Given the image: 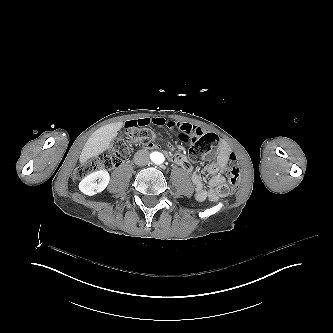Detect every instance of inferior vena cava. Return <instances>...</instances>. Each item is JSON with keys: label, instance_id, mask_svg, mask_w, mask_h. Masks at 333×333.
<instances>
[{"label": "inferior vena cava", "instance_id": "inferior-vena-cava-1", "mask_svg": "<svg viewBox=\"0 0 333 333\" xmlns=\"http://www.w3.org/2000/svg\"><path fill=\"white\" fill-rule=\"evenodd\" d=\"M134 163L138 166H145L150 163V156L147 150H139L134 154Z\"/></svg>", "mask_w": 333, "mask_h": 333}]
</instances>
